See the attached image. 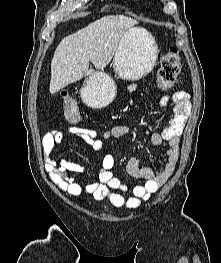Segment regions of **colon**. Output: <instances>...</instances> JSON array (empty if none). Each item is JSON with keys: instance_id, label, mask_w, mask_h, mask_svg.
Wrapping results in <instances>:
<instances>
[{"instance_id": "1", "label": "colon", "mask_w": 221, "mask_h": 263, "mask_svg": "<svg viewBox=\"0 0 221 263\" xmlns=\"http://www.w3.org/2000/svg\"><path fill=\"white\" fill-rule=\"evenodd\" d=\"M181 57L177 48H170L162 58L158 73V84L161 90L171 88L180 72ZM63 112L67 121L78 123L81 113L77 104L67 95L62 96Z\"/></svg>"}]
</instances>
